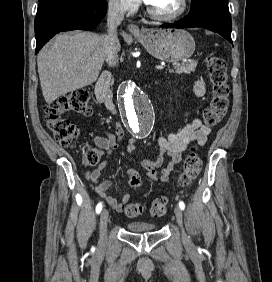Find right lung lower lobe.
Here are the masks:
<instances>
[{
	"label": "right lung lower lobe",
	"mask_w": 272,
	"mask_h": 282,
	"mask_svg": "<svg viewBox=\"0 0 272 282\" xmlns=\"http://www.w3.org/2000/svg\"><path fill=\"white\" fill-rule=\"evenodd\" d=\"M106 11V0L40 1L35 18L36 54L59 32L94 29Z\"/></svg>",
	"instance_id": "1"
}]
</instances>
